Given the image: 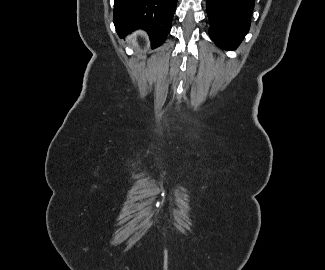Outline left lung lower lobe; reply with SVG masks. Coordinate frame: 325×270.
Here are the masks:
<instances>
[{"label":"left lung lower lobe","mask_w":325,"mask_h":270,"mask_svg":"<svg viewBox=\"0 0 325 270\" xmlns=\"http://www.w3.org/2000/svg\"><path fill=\"white\" fill-rule=\"evenodd\" d=\"M254 0H207L211 39L225 50H234L247 34Z\"/></svg>","instance_id":"left-lung-lower-lobe-1"}]
</instances>
